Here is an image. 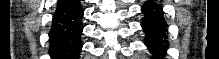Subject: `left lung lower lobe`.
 <instances>
[{"label":"left lung lower lobe","mask_w":219,"mask_h":59,"mask_svg":"<svg viewBox=\"0 0 219 59\" xmlns=\"http://www.w3.org/2000/svg\"><path fill=\"white\" fill-rule=\"evenodd\" d=\"M145 14L141 26L146 33L145 44L156 59H160L168 48L167 25L163 18L162 8L151 1L145 3L142 8Z\"/></svg>","instance_id":"0a47b994"}]
</instances>
